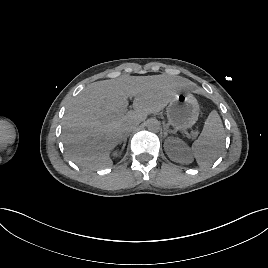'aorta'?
I'll list each match as a JSON object with an SVG mask.
<instances>
[{
	"label": "aorta",
	"mask_w": 268,
	"mask_h": 268,
	"mask_svg": "<svg viewBox=\"0 0 268 268\" xmlns=\"http://www.w3.org/2000/svg\"><path fill=\"white\" fill-rule=\"evenodd\" d=\"M146 126L150 132H154V133L159 132L161 129V123L157 119H153V118L147 120Z\"/></svg>",
	"instance_id": "762f6f07"
}]
</instances>
